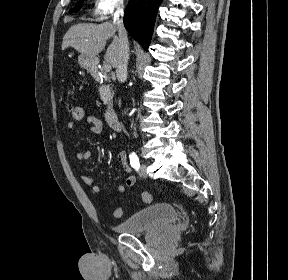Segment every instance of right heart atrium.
<instances>
[{
	"label": "right heart atrium",
	"mask_w": 288,
	"mask_h": 280,
	"mask_svg": "<svg viewBox=\"0 0 288 280\" xmlns=\"http://www.w3.org/2000/svg\"><path fill=\"white\" fill-rule=\"evenodd\" d=\"M125 0H94L92 10L97 20H106L124 8Z\"/></svg>",
	"instance_id": "1"
}]
</instances>
